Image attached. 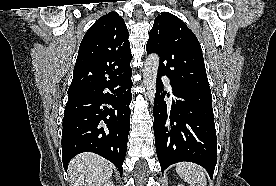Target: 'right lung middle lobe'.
I'll return each instance as SVG.
<instances>
[{"label": "right lung middle lobe", "instance_id": "dd1d6c3e", "mask_svg": "<svg viewBox=\"0 0 276 186\" xmlns=\"http://www.w3.org/2000/svg\"><path fill=\"white\" fill-rule=\"evenodd\" d=\"M86 90H88V89L68 91V98H73L76 94H78L80 92H84Z\"/></svg>", "mask_w": 276, "mask_h": 186}]
</instances>
